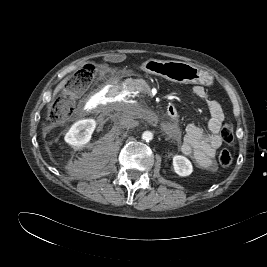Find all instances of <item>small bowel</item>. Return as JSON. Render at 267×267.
Here are the masks:
<instances>
[{"label":"small bowel","instance_id":"1","mask_svg":"<svg viewBox=\"0 0 267 267\" xmlns=\"http://www.w3.org/2000/svg\"><path fill=\"white\" fill-rule=\"evenodd\" d=\"M192 91L196 97L205 102L208 108L210 114L208 129L210 133L206 134L196 125L188 124L181 151L183 154L190 156L200 168L215 170L214 156L217 149L222 145L219 131L224 121V112L219 102L209 98L203 86L196 85Z\"/></svg>","mask_w":267,"mask_h":267}]
</instances>
